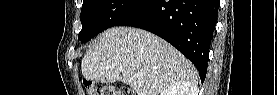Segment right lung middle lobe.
<instances>
[{
  "mask_svg": "<svg viewBox=\"0 0 277 95\" xmlns=\"http://www.w3.org/2000/svg\"><path fill=\"white\" fill-rule=\"evenodd\" d=\"M143 0H83L82 30L78 39L87 42L107 28L116 26Z\"/></svg>",
  "mask_w": 277,
  "mask_h": 95,
  "instance_id": "dd1d6c3e",
  "label": "right lung middle lobe"
}]
</instances>
